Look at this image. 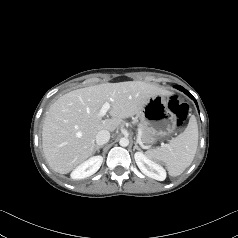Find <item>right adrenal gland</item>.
<instances>
[{
  "label": "right adrenal gland",
  "instance_id": "1",
  "mask_svg": "<svg viewBox=\"0 0 238 238\" xmlns=\"http://www.w3.org/2000/svg\"><path fill=\"white\" fill-rule=\"evenodd\" d=\"M103 146H96V148H95V150H94V152H98L99 153V150H100V148H102Z\"/></svg>",
  "mask_w": 238,
  "mask_h": 238
}]
</instances>
